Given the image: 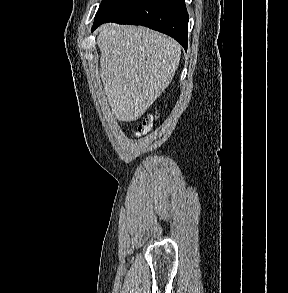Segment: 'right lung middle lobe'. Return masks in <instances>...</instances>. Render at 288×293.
I'll use <instances>...</instances> for the list:
<instances>
[{"label":"right lung middle lobe","mask_w":288,"mask_h":293,"mask_svg":"<svg viewBox=\"0 0 288 293\" xmlns=\"http://www.w3.org/2000/svg\"><path fill=\"white\" fill-rule=\"evenodd\" d=\"M128 0H102L96 13L93 26L98 25L108 19Z\"/></svg>","instance_id":"obj_1"}]
</instances>
